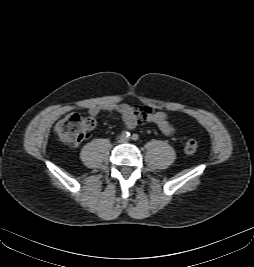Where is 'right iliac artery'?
<instances>
[{
  "instance_id": "82829eb1",
  "label": "right iliac artery",
  "mask_w": 254,
  "mask_h": 267,
  "mask_svg": "<svg viewBox=\"0 0 254 267\" xmlns=\"http://www.w3.org/2000/svg\"><path fill=\"white\" fill-rule=\"evenodd\" d=\"M121 136L123 137V138H129V136H130V133L128 132V131H123L122 133H121Z\"/></svg>"
}]
</instances>
